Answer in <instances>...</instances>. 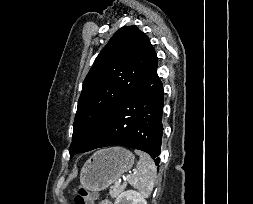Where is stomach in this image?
Returning <instances> with one entry per match:
<instances>
[{
	"instance_id": "stomach-1",
	"label": "stomach",
	"mask_w": 253,
	"mask_h": 204,
	"mask_svg": "<svg viewBox=\"0 0 253 204\" xmlns=\"http://www.w3.org/2000/svg\"><path fill=\"white\" fill-rule=\"evenodd\" d=\"M134 155L123 147H111L94 153L80 172V184L89 191L108 188L134 164Z\"/></svg>"
}]
</instances>
